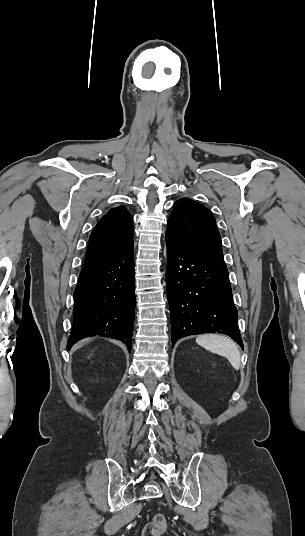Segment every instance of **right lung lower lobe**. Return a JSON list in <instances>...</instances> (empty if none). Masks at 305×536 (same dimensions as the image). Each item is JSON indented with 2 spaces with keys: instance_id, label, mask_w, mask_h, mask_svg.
Here are the masks:
<instances>
[{
  "instance_id": "1",
  "label": "right lung lower lobe",
  "mask_w": 305,
  "mask_h": 536,
  "mask_svg": "<svg viewBox=\"0 0 305 536\" xmlns=\"http://www.w3.org/2000/svg\"><path fill=\"white\" fill-rule=\"evenodd\" d=\"M133 248L84 263L74 291L69 350L87 336L117 339L131 349L135 313Z\"/></svg>"
}]
</instances>
